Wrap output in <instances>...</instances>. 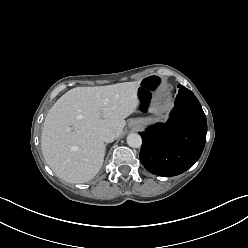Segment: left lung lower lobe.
Instances as JSON below:
<instances>
[{
    "mask_svg": "<svg viewBox=\"0 0 248 248\" xmlns=\"http://www.w3.org/2000/svg\"><path fill=\"white\" fill-rule=\"evenodd\" d=\"M206 133V116L199 101L189 89L180 88L168 121L139 133L141 163L155 175H179L200 158Z\"/></svg>",
    "mask_w": 248,
    "mask_h": 248,
    "instance_id": "obj_1",
    "label": "left lung lower lobe"
}]
</instances>
